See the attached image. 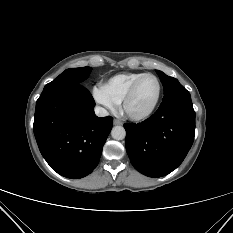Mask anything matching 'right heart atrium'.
I'll return each instance as SVG.
<instances>
[{
  "instance_id": "obj_1",
  "label": "right heart atrium",
  "mask_w": 233,
  "mask_h": 233,
  "mask_svg": "<svg viewBox=\"0 0 233 233\" xmlns=\"http://www.w3.org/2000/svg\"><path fill=\"white\" fill-rule=\"evenodd\" d=\"M93 99L108 110H115L118 101L111 95L104 84H97L92 89Z\"/></svg>"
}]
</instances>
